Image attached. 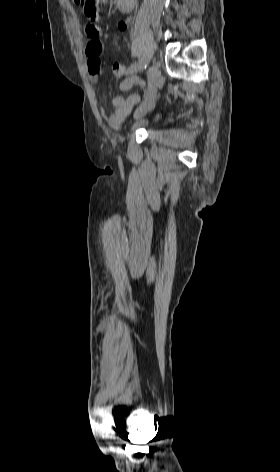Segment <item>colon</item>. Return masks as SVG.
<instances>
[{"label": "colon", "mask_w": 280, "mask_h": 472, "mask_svg": "<svg viewBox=\"0 0 280 472\" xmlns=\"http://www.w3.org/2000/svg\"><path fill=\"white\" fill-rule=\"evenodd\" d=\"M79 6L89 20L96 21L99 14L100 0H73ZM126 67L122 64H115L113 73L117 78H124L126 75Z\"/></svg>", "instance_id": "1"}]
</instances>
